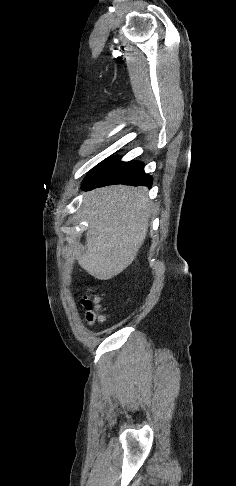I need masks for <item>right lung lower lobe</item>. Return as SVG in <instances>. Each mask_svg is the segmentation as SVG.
<instances>
[{
	"instance_id": "98d812e1",
	"label": "right lung lower lobe",
	"mask_w": 236,
	"mask_h": 486,
	"mask_svg": "<svg viewBox=\"0 0 236 486\" xmlns=\"http://www.w3.org/2000/svg\"><path fill=\"white\" fill-rule=\"evenodd\" d=\"M113 184L150 187L152 177L145 174L142 162H121L118 156H114L95 169L85 179L82 188L91 190Z\"/></svg>"
}]
</instances>
